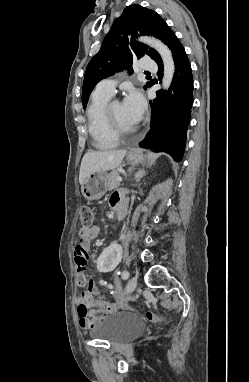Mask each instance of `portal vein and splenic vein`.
<instances>
[{
    "mask_svg": "<svg viewBox=\"0 0 249 382\" xmlns=\"http://www.w3.org/2000/svg\"><path fill=\"white\" fill-rule=\"evenodd\" d=\"M117 181L121 182V181H122V177H121V176H118V177H117Z\"/></svg>",
    "mask_w": 249,
    "mask_h": 382,
    "instance_id": "18ae733b",
    "label": "portal vein and splenic vein"
}]
</instances>
